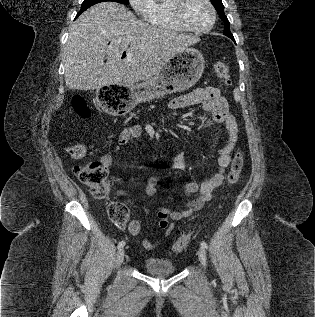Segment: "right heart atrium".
<instances>
[{
  "instance_id": "right-heart-atrium-1",
  "label": "right heart atrium",
  "mask_w": 315,
  "mask_h": 317,
  "mask_svg": "<svg viewBox=\"0 0 315 317\" xmlns=\"http://www.w3.org/2000/svg\"><path fill=\"white\" fill-rule=\"evenodd\" d=\"M134 11L141 17L147 18L153 6V0H129Z\"/></svg>"
}]
</instances>
